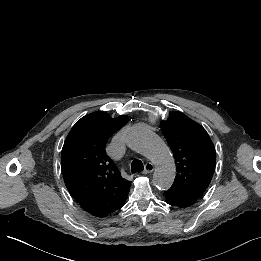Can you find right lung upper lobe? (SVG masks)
Returning <instances> with one entry per match:
<instances>
[{"label":"right lung upper lobe","mask_w":261,"mask_h":261,"mask_svg":"<svg viewBox=\"0 0 261 261\" xmlns=\"http://www.w3.org/2000/svg\"><path fill=\"white\" fill-rule=\"evenodd\" d=\"M128 122L103 111L81 118L66 137L61 153L65 185L81 207L93 216L105 217L121 208L131 181L120 172L105 151L109 137Z\"/></svg>","instance_id":"cb5924a9"}]
</instances>
